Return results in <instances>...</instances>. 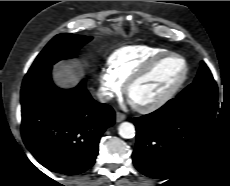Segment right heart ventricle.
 Instances as JSON below:
<instances>
[{
    "mask_svg": "<svg viewBox=\"0 0 230 186\" xmlns=\"http://www.w3.org/2000/svg\"><path fill=\"white\" fill-rule=\"evenodd\" d=\"M165 52L168 51L156 46H125L111 54L108 60V69L121 83H124L149 60Z\"/></svg>",
    "mask_w": 230,
    "mask_h": 186,
    "instance_id": "e07e8e85",
    "label": "right heart ventricle"
}]
</instances>
